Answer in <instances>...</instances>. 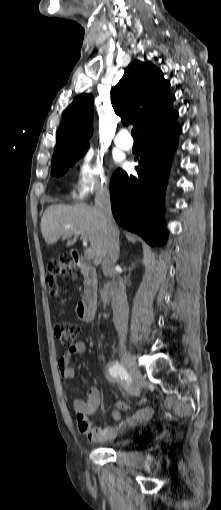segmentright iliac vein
Here are the masks:
<instances>
[{
	"instance_id": "63e3f726",
	"label": "right iliac vein",
	"mask_w": 221,
	"mask_h": 510,
	"mask_svg": "<svg viewBox=\"0 0 221 510\" xmlns=\"http://www.w3.org/2000/svg\"><path fill=\"white\" fill-rule=\"evenodd\" d=\"M121 361L133 380V393L138 396L142 387L143 379L135 358L130 353H124L121 356Z\"/></svg>"
}]
</instances>
